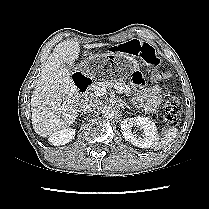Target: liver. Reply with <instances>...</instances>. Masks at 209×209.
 I'll list each match as a JSON object with an SVG mask.
<instances>
[{
	"label": "liver",
	"instance_id": "liver-1",
	"mask_svg": "<svg viewBox=\"0 0 209 209\" xmlns=\"http://www.w3.org/2000/svg\"><path fill=\"white\" fill-rule=\"evenodd\" d=\"M107 45L109 44H86L84 48ZM79 53L78 42L63 41L56 45L41 71L31 96L32 125L41 137H50L54 132L68 128L81 111L79 92L68 68L74 66Z\"/></svg>",
	"mask_w": 209,
	"mask_h": 209
}]
</instances>
